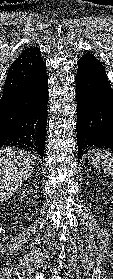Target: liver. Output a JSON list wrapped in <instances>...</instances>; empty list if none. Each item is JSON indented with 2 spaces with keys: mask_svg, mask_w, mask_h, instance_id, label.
<instances>
[{
  "mask_svg": "<svg viewBox=\"0 0 113 279\" xmlns=\"http://www.w3.org/2000/svg\"><path fill=\"white\" fill-rule=\"evenodd\" d=\"M36 155L17 148L0 149V202L10 198L34 170Z\"/></svg>",
  "mask_w": 113,
  "mask_h": 279,
  "instance_id": "1",
  "label": "liver"
}]
</instances>
